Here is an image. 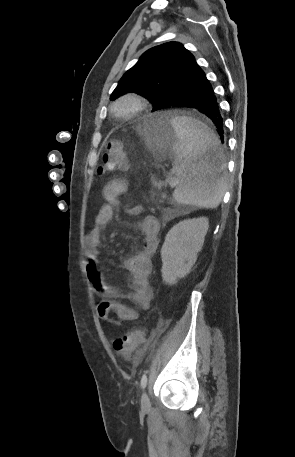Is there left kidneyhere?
Listing matches in <instances>:
<instances>
[{"mask_svg":"<svg viewBox=\"0 0 295 457\" xmlns=\"http://www.w3.org/2000/svg\"><path fill=\"white\" fill-rule=\"evenodd\" d=\"M209 221L205 217L186 219L174 225L165 237L161 249L162 278L172 285L185 277L202 249Z\"/></svg>","mask_w":295,"mask_h":457,"instance_id":"1","label":"left kidney"}]
</instances>
